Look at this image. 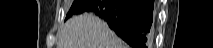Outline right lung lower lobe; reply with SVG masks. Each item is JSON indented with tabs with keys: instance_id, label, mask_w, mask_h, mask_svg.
Returning a JSON list of instances; mask_svg holds the SVG:
<instances>
[{
	"instance_id": "1",
	"label": "right lung lower lobe",
	"mask_w": 213,
	"mask_h": 48,
	"mask_svg": "<svg viewBox=\"0 0 213 48\" xmlns=\"http://www.w3.org/2000/svg\"><path fill=\"white\" fill-rule=\"evenodd\" d=\"M154 0H87L80 13H94L133 48L150 40Z\"/></svg>"
}]
</instances>
